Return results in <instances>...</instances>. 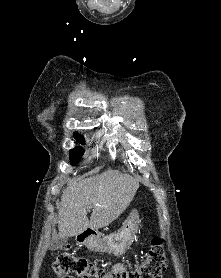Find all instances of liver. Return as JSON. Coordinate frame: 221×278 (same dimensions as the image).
I'll list each match as a JSON object with an SVG mask.
<instances>
[{"instance_id": "6515ba94", "label": "liver", "mask_w": 221, "mask_h": 278, "mask_svg": "<svg viewBox=\"0 0 221 278\" xmlns=\"http://www.w3.org/2000/svg\"><path fill=\"white\" fill-rule=\"evenodd\" d=\"M139 182L116 170L71 183L62 192L58 211V238L100 229L116 220L133 200ZM93 208L90 220L87 210Z\"/></svg>"}]
</instances>
